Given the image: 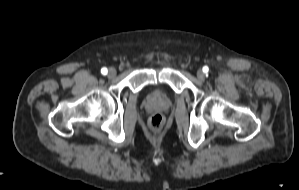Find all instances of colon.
I'll use <instances>...</instances> for the list:
<instances>
[{"label": "colon", "mask_w": 299, "mask_h": 190, "mask_svg": "<svg viewBox=\"0 0 299 190\" xmlns=\"http://www.w3.org/2000/svg\"><path fill=\"white\" fill-rule=\"evenodd\" d=\"M164 124V118L161 114H154L149 119V126L153 131L161 130Z\"/></svg>", "instance_id": "obj_1"}]
</instances>
